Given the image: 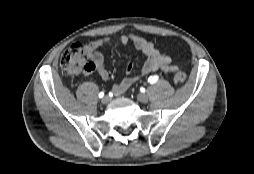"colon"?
Returning <instances> with one entry per match:
<instances>
[{"label":"colon","instance_id":"1","mask_svg":"<svg viewBox=\"0 0 254 174\" xmlns=\"http://www.w3.org/2000/svg\"><path fill=\"white\" fill-rule=\"evenodd\" d=\"M62 69L70 75H78L91 72L94 69L92 61H89L86 47L75 42L71 44L62 54L60 59ZM174 81L182 85L186 81V74L183 71H177L174 75Z\"/></svg>","mask_w":254,"mask_h":174}]
</instances>
